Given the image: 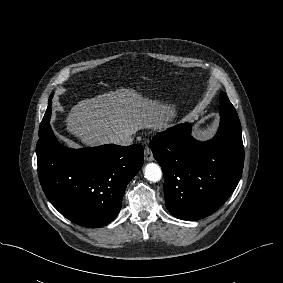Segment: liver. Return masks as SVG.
<instances>
[{"mask_svg":"<svg viewBox=\"0 0 283 283\" xmlns=\"http://www.w3.org/2000/svg\"><path fill=\"white\" fill-rule=\"evenodd\" d=\"M174 112L173 106L122 88L79 101L67 114L66 130L83 145L92 147L109 144L119 133L162 129Z\"/></svg>","mask_w":283,"mask_h":283,"instance_id":"liver-1","label":"liver"}]
</instances>
